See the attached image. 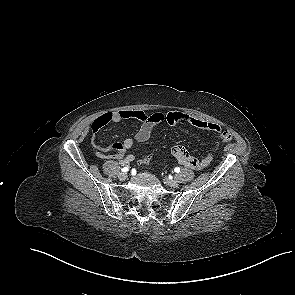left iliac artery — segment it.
<instances>
[{
  "instance_id": "44dca946",
  "label": "left iliac artery",
  "mask_w": 295,
  "mask_h": 295,
  "mask_svg": "<svg viewBox=\"0 0 295 295\" xmlns=\"http://www.w3.org/2000/svg\"><path fill=\"white\" fill-rule=\"evenodd\" d=\"M174 171H175L176 173H179V172H180V168H179V167H175Z\"/></svg>"
}]
</instances>
